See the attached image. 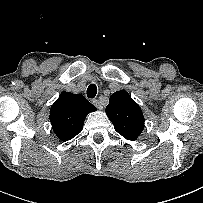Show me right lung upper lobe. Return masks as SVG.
<instances>
[{
    "label": "right lung upper lobe",
    "instance_id": "right-lung-upper-lobe-1",
    "mask_svg": "<svg viewBox=\"0 0 203 203\" xmlns=\"http://www.w3.org/2000/svg\"><path fill=\"white\" fill-rule=\"evenodd\" d=\"M96 111L81 94L62 92L51 106L50 122L53 131L61 141H68L82 131L89 112Z\"/></svg>",
    "mask_w": 203,
    "mask_h": 203
}]
</instances>
